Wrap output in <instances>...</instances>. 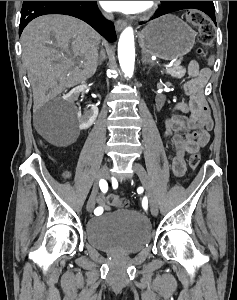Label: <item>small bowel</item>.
<instances>
[{
  "instance_id": "small-bowel-1",
  "label": "small bowel",
  "mask_w": 237,
  "mask_h": 300,
  "mask_svg": "<svg viewBox=\"0 0 237 300\" xmlns=\"http://www.w3.org/2000/svg\"><path fill=\"white\" fill-rule=\"evenodd\" d=\"M187 74L189 80L184 84V91L189 96V100L174 106L176 113L164 122L163 128V135L174 152L171 157V167L176 177H182L185 174V155L198 151L208 143L209 133L214 125L205 99V89L211 77L210 69H200L198 63L192 60L187 65ZM177 112L184 113V115ZM62 177L68 180L72 177V172L66 170ZM77 185L84 189L88 188L89 183L79 179ZM104 193L103 191L96 193L94 201L102 209H108L109 205Z\"/></svg>"
}]
</instances>
